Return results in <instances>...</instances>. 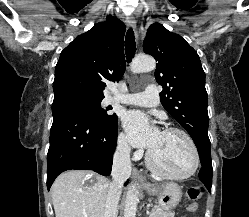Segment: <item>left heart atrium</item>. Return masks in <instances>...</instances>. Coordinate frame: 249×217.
<instances>
[{"instance_id": "obj_1", "label": "left heart atrium", "mask_w": 249, "mask_h": 217, "mask_svg": "<svg viewBox=\"0 0 249 217\" xmlns=\"http://www.w3.org/2000/svg\"><path fill=\"white\" fill-rule=\"evenodd\" d=\"M123 124L130 142L136 147L153 148L161 131L149 126L148 117L140 111H129L123 117Z\"/></svg>"}]
</instances>
